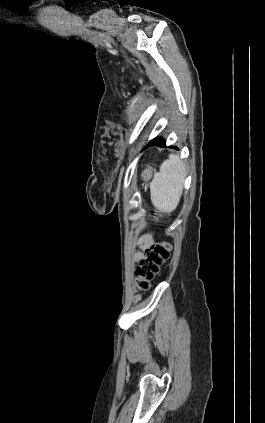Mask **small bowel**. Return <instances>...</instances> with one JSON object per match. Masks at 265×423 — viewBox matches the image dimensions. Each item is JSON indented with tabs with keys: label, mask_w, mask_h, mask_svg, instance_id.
<instances>
[{
	"label": "small bowel",
	"mask_w": 265,
	"mask_h": 423,
	"mask_svg": "<svg viewBox=\"0 0 265 423\" xmlns=\"http://www.w3.org/2000/svg\"><path fill=\"white\" fill-rule=\"evenodd\" d=\"M153 235L152 234H146L144 235L140 240V247L144 250L153 243ZM142 257V253L138 252L135 255V260L138 261Z\"/></svg>",
	"instance_id": "obj_1"
}]
</instances>
